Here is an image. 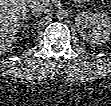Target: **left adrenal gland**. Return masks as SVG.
<instances>
[{
    "mask_svg": "<svg viewBox=\"0 0 111 106\" xmlns=\"http://www.w3.org/2000/svg\"><path fill=\"white\" fill-rule=\"evenodd\" d=\"M75 6H77V7H83V5H75Z\"/></svg>",
    "mask_w": 111,
    "mask_h": 106,
    "instance_id": "1",
    "label": "left adrenal gland"
}]
</instances>
